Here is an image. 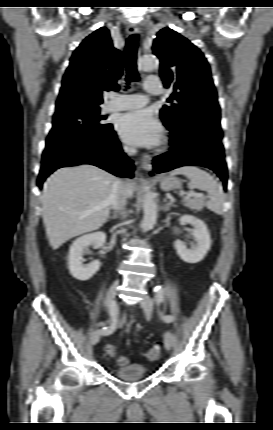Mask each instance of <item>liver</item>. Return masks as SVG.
Masks as SVG:
<instances>
[{
	"mask_svg": "<svg viewBox=\"0 0 273 430\" xmlns=\"http://www.w3.org/2000/svg\"><path fill=\"white\" fill-rule=\"evenodd\" d=\"M115 177L91 164L55 171L44 184L41 202L49 244L58 249L69 239L99 229L110 213L109 196ZM128 198L134 182H124Z\"/></svg>",
	"mask_w": 273,
	"mask_h": 430,
	"instance_id": "liver-1",
	"label": "liver"
}]
</instances>
